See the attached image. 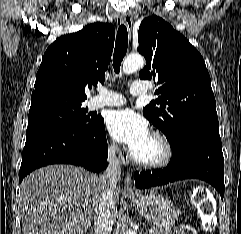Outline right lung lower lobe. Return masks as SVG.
<instances>
[{
	"label": "right lung lower lobe",
	"instance_id": "98d812e1",
	"mask_svg": "<svg viewBox=\"0 0 241 234\" xmlns=\"http://www.w3.org/2000/svg\"><path fill=\"white\" fill-rule=\"evenodd\" d=\"M108 146L104 120L91 130L64 125L27 129L19 181L33 170L49 164H73L97 172L107 166Z\"/></svg>",
	"mask_w": 241,
	"mask_h": 234
}]
</instances>
